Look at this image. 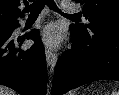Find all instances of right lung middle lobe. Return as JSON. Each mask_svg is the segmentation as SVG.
Segmentation results:
<instances>
[{
    "instance_id": "right-lung-middle-lobe-1",
    "label": "right lung middle lobe",
    "mask_w": 119,
    "mask_h": 95,
    "mask_svg": "<svg viewBox=\"0 0 119 95\" xmlns=\"http://www.w3.org/2000/svg\"><path fill=\"white\" fill-rule=\"evenodd\" d=\"M15 27H3L0 28V35H4L13 31Z\"/></svg>"
}]
</instances>
